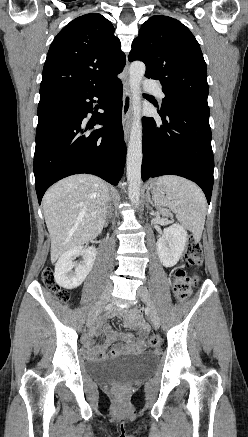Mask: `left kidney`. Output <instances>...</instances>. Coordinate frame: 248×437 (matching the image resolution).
I'll return each mask as SVG.
<instances>
[{
	"label": "left kidney",
	"mask_w": 248,
	"mask_h": 437,
	"mask_svg": "<svg viewBox=\"0 0 248 437\" xmlns=\"http://www.w3.org/2000/svg\"><path fill=\"white\" fill-rule=\"evenodd\" d=\"M187 236L186 230L179 224L164 229L156 243L157 253L163 266L172 267L179 261L185 249Z\"/></svg>",
	"instance_id": "obj_1"
}]
</instances>
